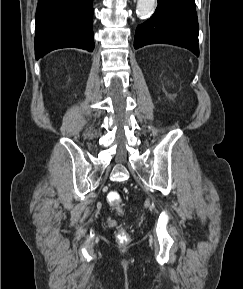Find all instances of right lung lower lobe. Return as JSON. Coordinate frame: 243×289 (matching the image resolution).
Wrapping results in <instances>:
<instances>
[{"mask_svg": "<svg viewBox=\"0 0 243 289\" xmlns=\"http://www.w3.org/2000/svg\"><path fill=\"white\" fill-rule=\"evenodd\" d=\"M92 0H38L35 56L60 48L94 49Z\"/></svg>", "mask_w": 243, "mask_h": 289, "instance_id": "1", "label": "right lung lower lobe"}]
</instances>
